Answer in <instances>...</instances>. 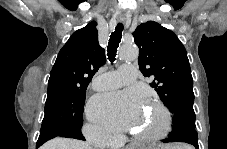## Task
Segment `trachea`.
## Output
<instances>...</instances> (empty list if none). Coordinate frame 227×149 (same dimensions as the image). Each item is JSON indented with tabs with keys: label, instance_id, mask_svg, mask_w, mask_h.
Here are the masks:
<instances>
[{
	"label": "trachea",
	"instance_id": "1",
	"mask_svg": "<svg viewBox=\"0 0 227 149\" xmlns=\"http://www.w3.org/2000/svg\"><path fill=\"white\" fill-rule=\"evenodd\" d=\"M122 31H123V24L118 23L115 28V31L112 32V34L110 35V39L107 47V55L110 62H114L115 60L117 48L119 47V43L121 42V38H122Z\"/></svg>",
	"mask_w": 227,
	"mask_h": 149
}]
</instances>
